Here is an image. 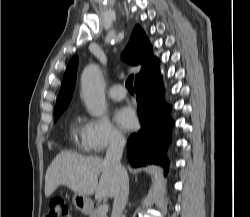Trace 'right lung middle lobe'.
I'll return each mask as SVG.
<instances>
[{"mask_svg": "<svg viewBox=\"0 0 250 217\" xmlns=\"http://www.w3.org/2000/svg\"><path fill=\"white\" fill-rule=\"evenodd\" d=\"M63 111L60 112H54V120L56 122V120L58 119V117L62 114Z\"/></svg>", "mask_w": 250, "mask_h": 217, "instance_id": "right-lung-middle-lobe-1", "label": "right lung middle lobe"}]
</instances>
